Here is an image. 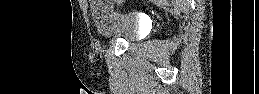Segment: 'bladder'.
<instances>
[{
  "label": "bladder",
  "instance_id": "1",
  "mask_svg": "<svg viewBox=\"0 0 259 94\" xmlns=\"http://www.w3.org/2000/svg\"><path fill=\"white\" fill-rule=\"evenodd\" d=\"M91 16L97 30L105 37H121L128 42L139 38L141 22L134 14H122L107 2H95Z\"/></svg>",
  "mask_w": 259,
  "mask_h": 94
}]
</instances>
